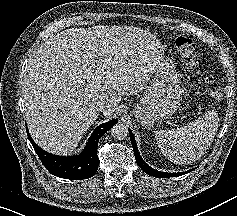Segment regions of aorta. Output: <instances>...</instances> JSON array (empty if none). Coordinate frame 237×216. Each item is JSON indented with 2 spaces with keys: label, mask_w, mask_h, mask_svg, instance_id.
Here are the masks:
<instances>
[{
  "label": "aorta",
  "mask_w": 237,
  "mask_h": 216,
  "mask_svg": "<svg viewBox=\"0 0 237 216\" xmlns=\"http://www.w3.org/2000/svg\"><path fill=\"white\" fill-rule=\"evenodd\" d=\"M128 134V128L122 122L116 123L111 128V135L116 140H124L127 138Z\"/></svg>",
  "instance_id": "762f6f07"
}]
</instances>
